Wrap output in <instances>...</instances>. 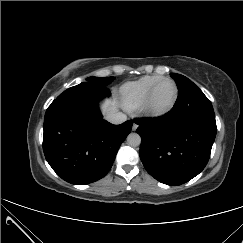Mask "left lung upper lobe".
<instances>
[{"instance_id":"obj_1","label":"left lung upper lobe","mask_w":243,"mask_h":243,"mask_svg":"<svg viewBox=\"0 0 243 243\" xmlns=\"http://www.w3.org/2000/svg\"><path fill=\"white\" fill-rule=\"evenodd\" d=\"M171 76L174 78L178 90L185 92L179 99V102L182 103L180 105L182 114L194 118H215L210 100L190 79L177 73H171Z\"/></svg>"}]
</instances>
